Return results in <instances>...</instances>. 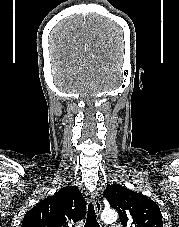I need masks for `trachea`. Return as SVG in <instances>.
Here are the masks:
<instances>
[{
    "label": "trachea",
    "mask_w": 179,
    "mask_h": 227,
    "mask_svg": "<svg viewBox=\"0 0 179 227\" xmlns=\"http://www.w3.org/2000/svg\"><path fill=\"white\" fill-rule=\"evenodd\" d=\"M85 227H100L99 223L97 222L94 206L92 203H89L88 205Z\"/></svg>",
    "instance_id": "trachea-1"
}]
</instances>
